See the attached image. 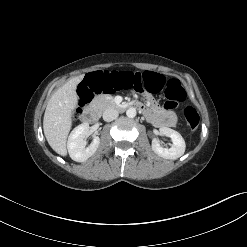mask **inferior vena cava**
Returning a JSON list of instances; mask_svg holds the SVG:
<instances>
[{"instance_id": "obj_1", "label": "inferior vena cava", "mask_w": 247, "mask_h": 247, "mask_svg": "<svg viewBox=\"0 0 247 247\" xmlns=\"http://www.w3.org/2000/svg\"><path fill=\"white\" fill-rule=\"evenodd\" d=\"M118 111L113 108H108L103 112V119L106 122L113 121L118 117Z\"/></svg>"}]
</instances>
